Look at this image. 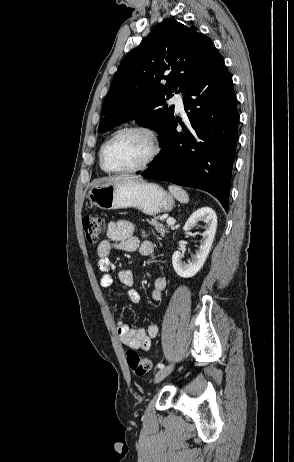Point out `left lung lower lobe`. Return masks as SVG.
<instances>
[{"mask_svg": "<svg viewBox=\"0 0 294 462\" xmlns=\"http://www.w3.org/2000/svg\"><path fill=\"white\" fill-rule=\"evenodd\" d=\"M184 91L189 126L174 118L160 140L162 154L140 175L205 190L228 211L239 113L224 60L208 65Z\"/></svg>", "mask_w": 294, "mask_h": 462, "instance_id": "left-lung-lower-lobe-1", "label": "left lung lower lobe"}]
</instances>
